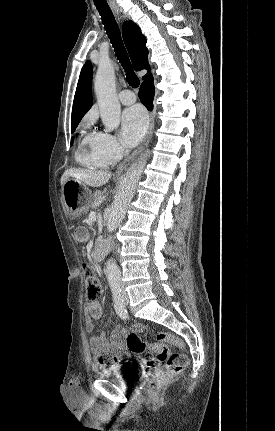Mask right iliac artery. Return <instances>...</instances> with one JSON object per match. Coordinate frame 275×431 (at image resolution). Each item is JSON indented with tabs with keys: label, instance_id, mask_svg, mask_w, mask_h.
<instances>
[{
	"label": "right iliac artery",
	"instance_id": "1",
	"mask_svg": "<svg viewBox=\"0 0 275 431\" xmlns=\"http://www.w3.org/2000/svg\"><path fill=\"white\" fill-rule=\"evenodd\" d=\"M111 288L113 293V302H114L115 311L121 319L126 320L128 318V313L125 308L123 299L121 297L120 286L119 284L114 283L111 285Z\"/></svg>",
	"mask_w": 275,
	"mask_h": 431
}]
</instances>
